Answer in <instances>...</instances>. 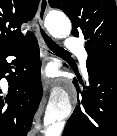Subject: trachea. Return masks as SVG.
<instances>
[{
	"mask_svg": "<svg viewBox=\"0 0 117 136\" xmlns=\"http://www.w3.org/2000/svg\"><path fill=\"white\" fill-rule=\"evenodd\" d=\"M41 34L46 42V44L49 46L51 50L54 52H61V53H66L70 54L68 51H66L64 48L56 44L43 30H41Z\"/></svg>",
	"mask_w": 117,
	"mask_h": 136,
	"instance_id": "trachea-1",
	"label": "trachea"
}]
</instances>
